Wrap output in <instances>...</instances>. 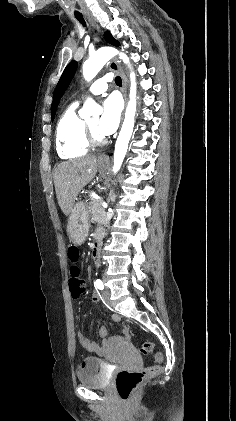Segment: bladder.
I'll use <instances>...</instances> for the list:
<instances>
[{
  "instance_id": "obj_1",
  "label": "bladder",
  "mask_w": 236,
  "mask_h": 421,
  "mask_svg": "<svg viewBox=\"0 0 236 421\" xmlns=\"http://www.w3.org/2000/svg\"><path fill=\"white\" fill-rule=\"evenodd\" d=\"M102 360L88 357L83 360L76 371L77 382L93 390L104 389L108 386L106 374L101 369Z\"/></svg>"
}]
</instances>
